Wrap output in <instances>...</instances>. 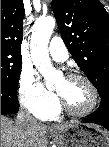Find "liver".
<instances>
[{
    "label": "liver",
    "mask_w": 109,
    "mask_h": 147,
    "mask_svg": "<svg viewBox=\"0 0 109 147\" xmlns=\"http://www.w3.org/2000/svg\"><path fill=\"white\" fill-rule=\"evenodd\" d=\"M70 124H56L52 128L64 130ZM49 127L37 124L29 132L20 130L11 119L1 117V147H46Z\"/></svg>",
    "instance_id": "liver-1"
}]
</instances>
